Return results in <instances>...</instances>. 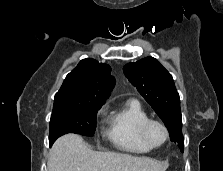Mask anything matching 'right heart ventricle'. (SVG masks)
I'll return each mask as SVG.
<instances>
[{"label":"right heart ventricle","mask_w":223,"mask_h":171,"mask_svg":"<svg viewBox=\"0 0 223 171\" xmlns=\"http://www.w3.org/2000/svg\"><path fill=\"white\" fill-rule=\"evenodd\" d=\"M149 119L138 100L130 99L107 117L106 135L110 142L122 151L143 154L152 148L143 140L141 127Z\"/></svg>","instance_id":"right-heart-ventricle-1"}]
</instances>
